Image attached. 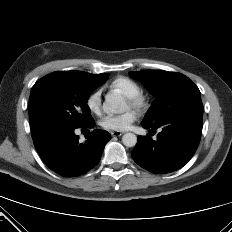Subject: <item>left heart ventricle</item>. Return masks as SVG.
Returning <instances> with one entry per match:
<instances>
[{
	"label": "left heart ventricle",
	"mask_w": 232,
	"mask_h": 232,
	"mask_svg": "<svg viewBox=\"0 0 232 232\" xmlns=\"http://www.w3.org/2000/svg\"><path fill=\"white\" fill-rule=\"evenodd\" d=\"M126 107H127V108H129V107H130V105H129V103H128V102H126Z\"/></svg>",
	"instance_id": "left-heart-ventricle-1"
}]
</instances>
